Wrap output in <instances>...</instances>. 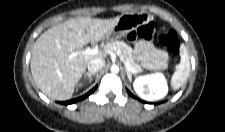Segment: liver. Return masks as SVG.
<instances>
[{"label": "liver", "mask_w": 225, "mask_h": 132, "mask_svg": "<svg viewBox=\"0 0 225 132\" xmlns=\"http://www.w3.org/2000/svg\"><path fill=\"white\" fill-rule=\"evenodd\" d=\"M119 20L120 16L112 19L78 17L46 30L36 40L30 61L37 87L51 99H70L89 61L106 56L105 51L96 55L73 54L89 42L103 40Z\"/></svg>", "instance_id": "liver-1"}]
</instances>
